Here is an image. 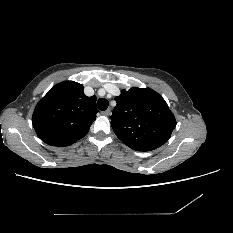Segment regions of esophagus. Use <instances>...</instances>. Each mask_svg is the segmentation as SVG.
Segmentation results:
<instances>
[{
	"label": "esophagus",
	"mask_w": 233,
	"mask_h": 233,
	"mask_svg": "<svg viewBox=\"0 0 233 233\" xmlns=\"http://www.w3.org/2000/svg\"><path fill=\"white\" fill-rule=\"evenodd\" d=\"M102 114L105 115V116H110L111 115V110L107 109V110L103 111Z\"/></svg>",
	"instance_id": "34e87169"
}]
</instances>
